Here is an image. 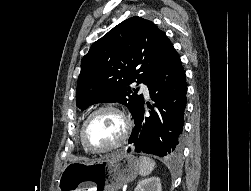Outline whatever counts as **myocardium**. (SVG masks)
Instances as JSON below:
<instances>
[{
	"instance_id": "myocardium-1",
	"label": "myocardium",
	"mask_w": 251,
	"mask_h": 191,
	"mask_svg": "<svg viewBox=\"0 0 251 191\" xmlns=\"http://www.w3.org/2000/svg\"><path fill=\"white\" fill-rule=\"evenodd\" d=\"M102 111H111L114 112L121 120L122 122V133L120 136V139L114 143L113 145H111L110 147L104 149V150H100V151H96V150H92L90 149L84 140V132H85V128L87 123L89 122V120L97 113L102 112ZM131 130V122L130 119L117 107L113 106V105H102L99 106L97 108H95L94 110H92L85 118L84 121L80 127L79 130V145L80 148L83 152H85L86 154L89 155H103L106 153H109L119 147H121L127 140L128 136H129V132Z\"/></svg>"
}]
</instances>
